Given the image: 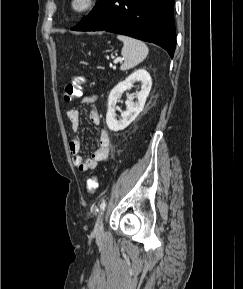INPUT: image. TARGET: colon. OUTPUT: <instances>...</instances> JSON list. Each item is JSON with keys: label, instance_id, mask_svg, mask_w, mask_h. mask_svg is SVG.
Segmentation results:
<instances>
[{"label": "colon", "instance_id": "5ec220e1", "mask_svg": "<svg viewBox=\"0 0 243 289\" xmlns=\"http://www.w3.org/2000/svg\"><path fill=\"white\" fill-rule=\"evenodd\" d=\"M85 83L83 77H76L72 82L68 83L64 88V101L71 102L82 93V85ZM87 192L93 194L98 188V181L95 176L89 178L86 184Z\"/></svg>", "mask_w": 243, "mask_h": 289}]
</instances>
